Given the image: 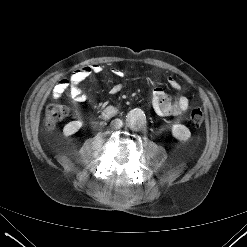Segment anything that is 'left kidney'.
Here are the masks:
<instances>
[{"label":"left kidney","instance_id":"obj_1","mask_svg":"<svg viewBox=\"0 0 247 247\" xmlns=\"http://www.w3.org/2000/svg\"><path fill=\"white\" fill-rule=\"evenodd\" d=\"M172 135L180 141H185L190 138L191 132L185 125L175 124L172 126Z\"/></svg>","mask_w":247,"mask_h":247}]
</instances>
